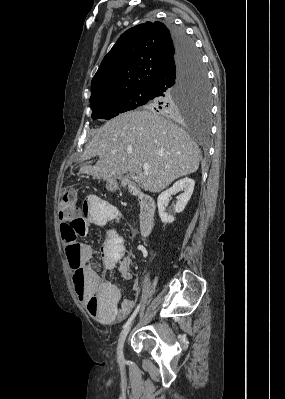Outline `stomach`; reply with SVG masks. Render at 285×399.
Segmentation results:
<instances>
[{"label": "stomach", "mask_w": 285, "mask_h": 399, "mask_svg": "<svg viewBox=\"0 0 285 399\" xmlns=\"http://www.w3.org/2000/svg\"><path fill=\"white\" fill-rule=\"evenodd\" d=\"M117 188V182L114 180H109L107 182V189L110 191H114Z\"/></svg>", "instance_id": "1"}]
</instances>
